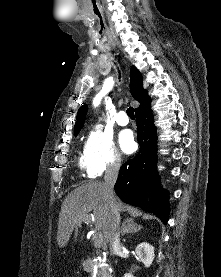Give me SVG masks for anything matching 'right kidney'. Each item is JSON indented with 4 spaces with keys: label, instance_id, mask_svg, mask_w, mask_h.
<instances>
[{
    "label": "right kidney",
    "instance_id": "1",
    "mask_svg": "<svg viewBox=\"0 0 221 277\" xmlns=\"http://www.w3.org/2000/svg\"><path fill=\"white\" fill-rule=\"evenodd\" d=\"M135 252L139 260L145 265V267H150L154 260V247L147 242L140 243ZM124 277H134L131 273H126Z\"/></svg>",
    "mask_w": 221,
    "mask_h": 277
}]
</instances>
